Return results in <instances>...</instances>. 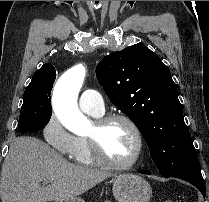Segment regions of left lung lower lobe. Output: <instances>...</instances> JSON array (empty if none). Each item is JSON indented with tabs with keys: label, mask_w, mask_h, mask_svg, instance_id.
Wrapping results in <instances>:
<instances>
[{
	"label": "left lung lower lobe",
	"mask_w": 209,
	"mask_h": 202,
	"mask_svg": "<svg viewBox=\"0 0 209 202\" xmlns=\"http://www.w3.org/2000/svg\"><path fill=\"white\" fill-rule=\"evenodd\" d=\"M141 173L151 174L148 171H141ZM164 177H176L179 179H183L194 185L202 193L203 197H205L206 195L205 183L201 174V167L198 159L189 163L182 170L175 172L171 175H164Z\"/></svg>",
	"instance_id": "left-lung-lower-lobe-1"
}]
</instances>
